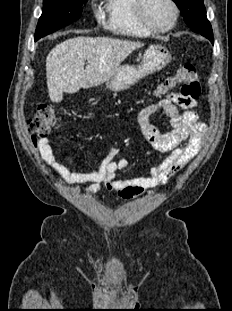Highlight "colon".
Here are the masks:
<instances>
[{
    "label": "colon",
    "mask_w": 232,
    "mask_h": 311,
    "mask_svg": "<svg viewBox=\"0 0 232 311\" xmlns=\"http://www.w3.org/2000/svg\"><path fill=\"white\" fill-rule=\"evenodd\" d=\"M176 85H181V94L196 100L201 93V85L197 67L192 63L181 65L158 89V93L166 92ZM58 117L53 107L42 105L31 119L29 127L33 132L44 134L56 123Z\"/></svg>",
    "instance_id": "obj_1"
}]
</instances>
